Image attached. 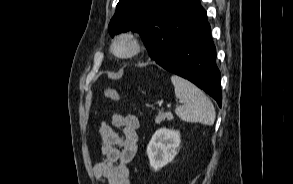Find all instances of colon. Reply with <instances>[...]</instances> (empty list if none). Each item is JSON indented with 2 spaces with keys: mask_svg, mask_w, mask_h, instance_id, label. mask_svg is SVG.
Masks as SVG:
<instances>
[{
  "mask_svg": "<svg viewBox=\"0 0 293 184\" xmlns=\"http://www.w3.org/2000/svg\"><path fill=\"white\" fill-rule=\"evenodd\" d=\"M104 95L106 98L115 102H119L121 100L120 94L113 88H109V87L105 88Z\"/></svg>",
  "mask_w": 293,
  "mask_h": 184,
  "instance_id": "1",
  "label": "colon"
}]
</instances>
